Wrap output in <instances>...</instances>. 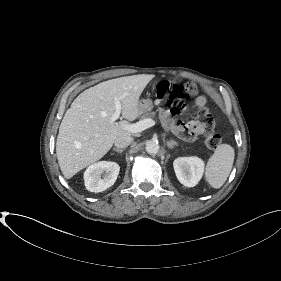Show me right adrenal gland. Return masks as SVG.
<instances>
[{"label": "right adrenal gland", "instance_id": "2a0ac1e0", "mask_svg": "<svg viewBox=\"0 0 281 281\" xmlns=\"http://www.w3.org/2000/svg\"><path fill=\"white\" fill-rule=\"evenodd\" d=\"M113 150L118 153H122L124 151V149H119V148H113Z\"/></svg>", "mask_w": 281, "mask_h": 281}]
</instances>
